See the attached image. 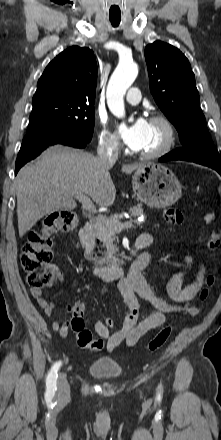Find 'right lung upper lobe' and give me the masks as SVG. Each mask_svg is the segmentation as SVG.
I'll use <instances>...</instances> for the list:
<instances>
[{"label": "right lung upper lobe", "mask_w": 221, "mask_h": 440, "mask_svg": "<svg viewBox=\"0 0 221 440\" xmlns=\"http://www.w3.org/2000/svg\"><path fill=\"white\" fill-rule=\"evenodd\" d=\"M97 62L92 50L72 46L51 61L37 83L32 103L94 104Z\"/></svg>", "instance_id": "cb5924a9"}]
</instances>
